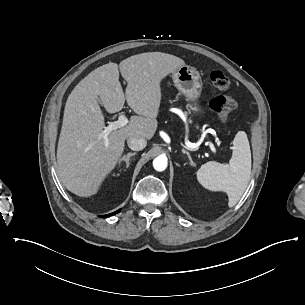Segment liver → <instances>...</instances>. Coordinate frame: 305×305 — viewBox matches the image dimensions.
Masks as SVG:
<instances>
[{"mask_svg": "<svg viewBox=\"0 0 305 305\" xmlns=\"http://www.w3.org/2000/svg\"><path fill=\"white\" fill-rule=\"evenodd\" d=\"M185 62L171 54L147 52L120 62L102 65L83 78L68 96L57 148V175L75 195L97 193L124 150L125 140L151 139L157 129L161 101L160 82ZM119 70L127 81L125 94ZM108 113L122 110L125 100L139 116L126 127L114 130L108 140L99 135L105 127L99 101Z\"/></svg>", "mask_w": 305, "mask_h": 305, "instance_id": "1", "label": "liver"}]
</instances>
